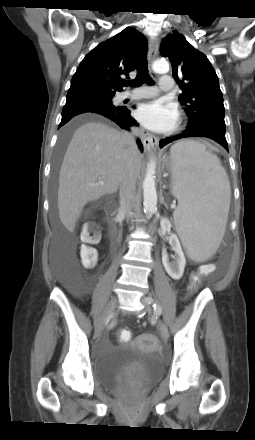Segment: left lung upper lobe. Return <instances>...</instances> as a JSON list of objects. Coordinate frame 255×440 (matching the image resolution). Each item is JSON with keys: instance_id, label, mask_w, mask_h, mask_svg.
Returning <instances> with one entry per match:
<instances>
[{"instance_id": "5c2ea615", "label": "left lung upper lobe", "mask_w": 255, "mask_h": 440, "mask_svg": "<svg viewBox=\"0 0 255 440\" xmlns=\"http://www.w3.org/2000/svg\"><path fill=\"white\" fill-rule=\"evenodd\" d=\"M160 54L169 58L173 77L180 84L179 101L185 106L188 125L213 123L225 127L223 96L208 58L176 31L162 40Z\"/></svg>"}]
</instances>
